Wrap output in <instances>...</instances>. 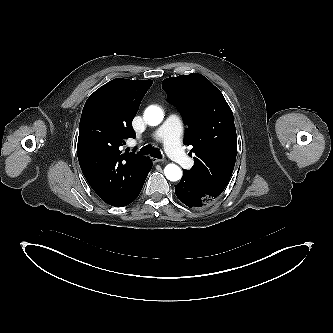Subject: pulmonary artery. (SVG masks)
<instances>
[{"instance_id":"1","label":"pulmonary artery","mask_w":333,"mask_h":333,"mask_svg":"<svg viewBox=\"0 0 333 333\" xmlns=\"http://www.w3.org/2000/svg\"><path fill=\"white\" fill-rule=\"evenodd\" d=\"M183 126L180 117L169 115L164 123L155 131L154 138L164 144L168 155L184 168H191L193 160L184 152L181 146Z\"/></svg>"}]
</instances>
